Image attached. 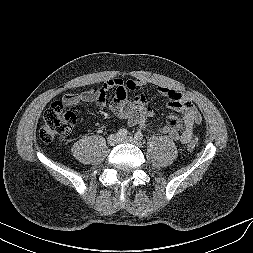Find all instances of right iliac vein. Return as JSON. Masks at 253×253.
I'll use <instances>...</instances> for the list:
<instances>
[{
  "label": "right iliac vein",
  "mask_w": 253,
  "mask_h": 253,
  "mask_svg": "<svg viewBox=\"0 0 253 253\" xmlns=\"http://www.w3.org/2000/svg\"><path fill=\"white\" fill-rule=\"evenodd\" d=\"M107 141L112 146L117 145L120 142V136L118 134H111L108 136Z\"/></svg>",
  "instance_id": "right-iliac-vein-1"
}]
</instances>
